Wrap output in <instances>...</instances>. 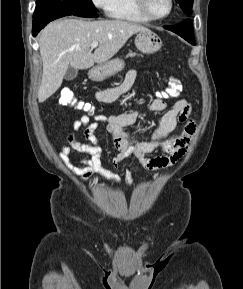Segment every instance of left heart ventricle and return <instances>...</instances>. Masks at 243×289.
<instances>
[{
	"label": "left heart ventricle",
	"instance_id": "1",
	"mask_svg": "<svg viewBox=\"0 0 243 289\" xmlns=\"http://www.w3.org/2000/svg\"><path fill=\"white\" fill-rule=\"evenodd\" d=\"M147 5L155 16L165 15L169 10V0H147Z\"/></svg>",
	"mask_w": 243,
	"mask_h": 289
}]
</instances>
